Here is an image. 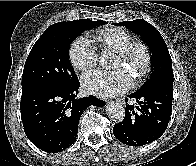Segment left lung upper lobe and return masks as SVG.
<instances>
[{
    "instance_id": "5c2ea615",
    "label": "left lung upper lobe",
    "mask_w": 196,
    "mask_h": 166,
    "mask_svg": "<svg viewBox=\"0 0 196 166\" xmlns=\"http://www.w3.org/2000/svg\"><path fill=\"white\" fill-rule=\"evenodd\" d=\"M114 24L125 26L138 34L151 51V75L140 90L147 89L158 84L173 86L171 57L164 39L156 28L142 19Z\"/></svg>"
}]
</instances>
